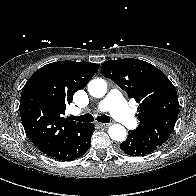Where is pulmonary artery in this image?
<instances>
[{
  "label": "pulmonary artery",
  "mask_w": 196,
  "mask_h": 196,
  "mask_svg": "<svg viewBox=\"0 0 196 196\" xmlns=\"http://www.w3.org/2000/svg\"><path fill=\"white\" fill-rule=\"evenodd\" d=\"M100 111L108 110L111 114L127 128H135L137 120L123 96L119 91L113 90L108 93L106 98L99 105Z\"/></svg>",
  "instance_id": "pulmonary-artery-1"
}]
</instances>
